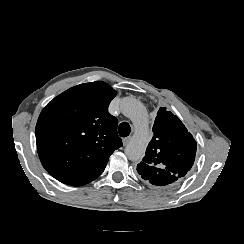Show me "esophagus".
Returning <instances> with one entry per match:
<instances>
[{
	"label": "esophagus",
	"instance_id": "esophagus-1",
	"mask_svg": "<svg viewBox=\"0 0 244 244\" xmlns=\"http://www.w3.org/2000/svg\"><path fill=\"white\" fill-rule=\"evenodd\" d=\"M130 140H131V136L125 137V138L122 140L123 145H124V146H127L128 143L130 142Z\"/></svg>",
	"mask_w": 244,
	"mask_h": 244
}]
</instances>
